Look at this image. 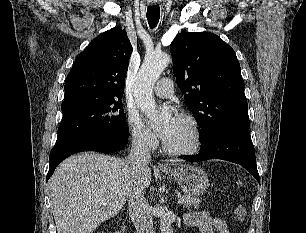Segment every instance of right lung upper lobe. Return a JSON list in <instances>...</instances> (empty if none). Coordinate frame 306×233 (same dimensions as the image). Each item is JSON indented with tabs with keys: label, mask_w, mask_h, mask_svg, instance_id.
<instances>
[{
	"label": "right lung upper lobe",
	"mask_w": 306,
	"mask_h": 233,
	"mask_svg": "<svg viewBox=\"0 0 306 233\" xmlns=\"http://www.w3.org/2000/svg\"><path fill=\"white\" fill-rule=\"evenodd\" d=\"M132 46L125 30L112 28L93 39L76 58L65 81V100L120 99Z\"/></svg>",
	"instance_id": "1"
}]
</instances>
